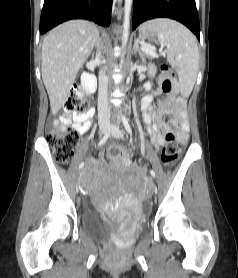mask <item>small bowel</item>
<instances>
[{
    "mask_svg": "<svg viewBox=\"0 0 238 278\" xmlns=\"http://www.w3.org/2000/svg\"><path fill=\"white\" fill-rule=\"evenodd\" d=\"M155 68L151 66L150 73H154ZM162 92V87L159 86L153 92L145 95L141 101L142 118L147 127V132L150 141L159 147L165 143L167 133L171 132V128L163 121L167 115H171V125L176 129V134L182 143H186L189 138V127L186 121L185 104L186 94L179 93L177 90L166 94L158 101L157 108L152 106V98L154 94ZM93 110L83 114H62L59 119L54 121V125L60 128L73 125L80 134H85L91 128V118ZM122 167H129L130 160L126 158L118 163Z\"/></svg>",
    "mask_w": 238,
    "mask_h": 278,
    "instance_id": "small-bowel-1",
    "label": "small bowel"
}]
</instances>
